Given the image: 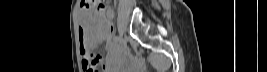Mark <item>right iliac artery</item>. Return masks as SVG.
<instances>
[{"label":"right iliac artery","mask_w":267,"mask_h":72,"mask_svg":"<svg viewBox=\"0 0 267 72\" xmlns=\"http://www.w3.org/2000/svg\"><path fill=\"white\" fill-rule=\"evenodd\" d=\"M119 40H120V37H119V36H116V37L114 38L115 43H117Z\"/></svg>","instance_id":"right-iliac-artery-1"}]
</instances>
